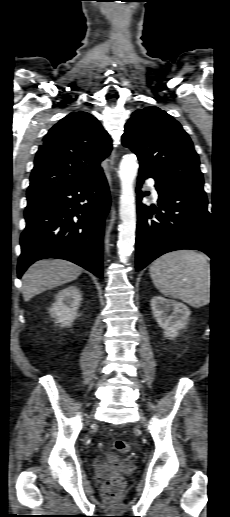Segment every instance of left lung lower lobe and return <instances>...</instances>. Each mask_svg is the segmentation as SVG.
<instances>
[{
	"instance_id": "0a47b994",
	"label": "left lung lower lobe",
	"mask_w": 230,
	"mask_h": 517,
	"mask_svg": "<svg viewBox=\"0 0 230 517\" xmlns=\"http://www.w3.org/2000/svg\"><path fill=\"white\" fill-rule=\"evenodd\" d=\"M154 178L159 208L140 201L144 179ZM137 197L136 269L142 270L154 259L180 249L213 255L207 197L200 186H181L139 170Z\"/></svg>"
}]
</instances>
